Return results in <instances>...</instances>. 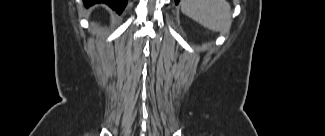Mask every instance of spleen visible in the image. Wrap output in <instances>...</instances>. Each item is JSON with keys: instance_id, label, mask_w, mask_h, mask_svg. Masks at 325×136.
I'll return each mask as SVG.
<instances>
[{"instance_id": "3e777b00", "label": "spleen", "mask_w": 325, "mask_h": 136, "mask_svg": "<svg viewBox=\"0 0 325 136\" xmlns=\"http://www.w3.org/2000/svg\"><path fill=\"white\" fill-rule=\"evenodd\" d=\"M182 12L211 31H221L230 19V7L224 0H183Z\"/></svg>"}]
</instances>
